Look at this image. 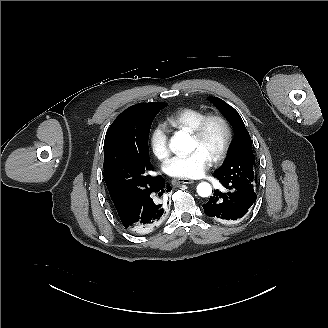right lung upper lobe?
<instances>
[{"label":"right lung upper lobe","mask_w":328,"mask_h":328,"mask_svg":"<svg viewBox=\"0 0 328 328\" xmlns=\"http://www.w3.org/2000/svg\"><path fill=\"white\" fill-rule=\"evenodd\" d=\"M113 203H114V205L117 209L119 217L123 218L128 214V211L130 209V205L120 204V203H115V202H113Z\"/></svg>","instance_id":"right-lung-upper-lobe-1"}]
</instances>
